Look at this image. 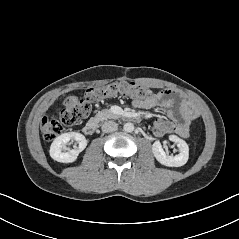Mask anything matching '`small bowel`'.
Instances as JSON below:
<instances>
[{
    "label": "small bowel",
    "instance_id": "obj_1",
    "mask_svg": "<svg viewBox=\"0 0 239 239\" xmlns=\"http://www.w3.org/2000/svg\"><path fill=\"white\" fill-rule=\"evenodd\" d=\"M133 106L144 109L155 108L164 111L169 117L168 134L174 133L183 138L189 135L190 126L198 117L196 108L189 101L180 98L172 90L158 92L152 99L135 98Z\"/></svg>",
    "mask_w": 239,
    "mask_h": 239
}]
</instances>
